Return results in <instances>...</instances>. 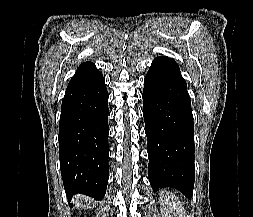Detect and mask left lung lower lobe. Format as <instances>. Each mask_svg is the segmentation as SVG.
Wrapping results in <instances>:
<instances>
[{
	"label": "left lung lower lobe",
	"mask_w": 253,
	"mask_h": 217,
	"mask_svg": "<svg viewBox=\"0 0 253 217\" xmlns=\"http://www.w3.org/2000/svg\"><path fill=\"white\" fill-rule=\"evenodd\" d=\"M143 116L153 190L173 187L192 197L195 165L191 99L178 64L166 56L155 58L145 77Z\"/></svg>",
	"instance_id": "0a47b994"
}]
</instances>
